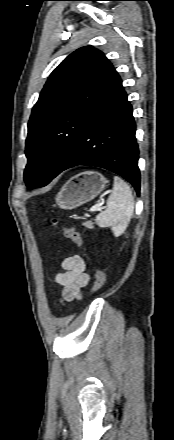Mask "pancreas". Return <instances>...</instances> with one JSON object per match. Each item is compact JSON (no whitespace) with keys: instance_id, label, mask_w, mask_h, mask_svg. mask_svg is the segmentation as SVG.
Listing matches in <instances>:
<instances>
[{"instance_id":"obj_1","label":"pancreas","mask_w":174,"mask_h":440,"mask_svg":"<svg viewBox=\"0 0 174 440\" xmlns=\"http://www.w3.org/2000/svg\"><path fill=\"white\" fill-rule=\"evenodd\" d=\"M83 226L89 228V229H93L94 228V223L92 221H86L85 223H83Z\"/></svg>"}]
</instances>
